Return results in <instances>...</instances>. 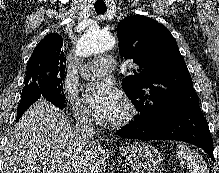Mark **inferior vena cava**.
<instances>
[{"label":"inferior vena cava","instance_id":"1","mask_svg":"<svg viewBox=\"0 0 219 173\" xmlns=\"http://www.w3.org/2000/svg\"><path fill=\"white\" fill-rule=\"evenodd\" d=\"M76 141L86 145L94 140V124L91 113L87 108L81 107L76 113V125L74 129ZM77 173L82 171L78 169Z\"/></svg>","mask_w":219,"mask_h":173}]
</instances>
